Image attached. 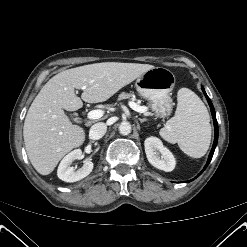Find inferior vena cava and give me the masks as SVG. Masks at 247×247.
Instances as JSON below:
<instances>
[{
	"mask_svg": "<svg viewBox=\"0 0 247 247\" xmlns=\"http://www.w3.org/2000/svg\"><path fill=\"white\" fill-rule=\"evenodd\" d=\"M107 131V125L103 122L94 124L89 131V136L91 139L98 140L102 138Z\"/></svg>",
	"mask_w": 247,
	"mask_h": 247,
	"instance_id": "1",
	"label": "inferior vena cava"
}]
</instances>
